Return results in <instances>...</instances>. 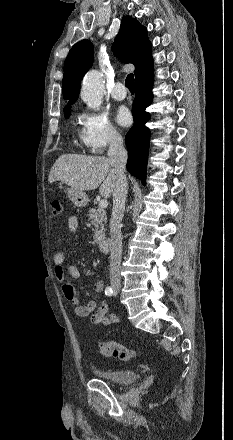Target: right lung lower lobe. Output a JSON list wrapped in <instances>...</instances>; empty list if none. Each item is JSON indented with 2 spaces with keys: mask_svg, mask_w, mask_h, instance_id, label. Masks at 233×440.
Wrapping results in <instances>:
<instances>
[{
  "mask_svg": "<svg viewBox=\"0 0 233 440\" xmlns=\"http://www.w3.org/2000/svg\"><path fill=\"white\" fill-rule=\"evenodd\" d=\"M153 70L135 81V99L132 105L134 125L126 135L125 143L128 149L127 170L145 185L147 155L150 132L145 126L149 114L145 111L153 98Z\"/></svg>",
  "mask_w": 233,
  "mask_h": 440,
  "instance_id": "right-lung-lower-lobe-1",
  "label": "right lung lower lobe"
}]
</instances>
